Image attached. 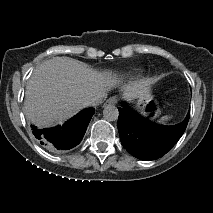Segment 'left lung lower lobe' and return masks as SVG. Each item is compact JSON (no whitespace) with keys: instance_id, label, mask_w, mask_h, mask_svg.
I'll return each instance as SVG.
<instances>
[{"instance_id":"1","label":"left lung lower lobe","mask_w":213,"mask_h":213,"mask_svg":"<svg viewBox=\"0 0 213 213\" xmlns=\"http://www.w3.org/2000/svg\"><path fill=\"white\" fill-rule=\"evenodd\" d=\"M119 110L118 130L126 150L142 160H154L166 154L184 133L190 112L185 120L174 126H161L133 111L126 102Z\"/></svg>"}]
</instances>
